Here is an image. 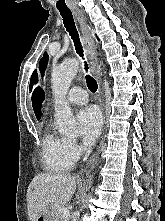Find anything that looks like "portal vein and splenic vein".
I'll return each mask as SVG.
<instances>
[{"label":"portal vein and splenic vein","mask_w":165,"mask_h":221,"mask_svg":"<svg viewBox=\"0 0 165 221\" xmlns=\"http://www.w3.org/2000/svg\"><path fill=\"white\" fill-rule=\"evenodd\" d=\"M59 214L61 215V217L67 218L69 217V210L65 207H62L59 209Z\"/></svg>","instance_id":"18ae733b"}]
</instances>
